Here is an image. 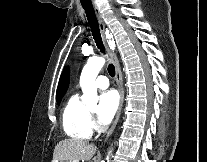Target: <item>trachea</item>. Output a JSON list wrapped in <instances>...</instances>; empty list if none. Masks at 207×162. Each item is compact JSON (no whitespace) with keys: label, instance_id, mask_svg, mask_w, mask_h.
I'll list each match as a JSON object with an SVG mask.
<instances>
[{"label":"trachea","instance_id":"1","mask_svg":"<svg viewBox=\"0 0 207 162\" xmlns=\"http://www.w3.org/2000/svg\"><path fill=\"white\" fill-rule=\"evenodd\" d=\"M80 2L82 4L83 9L85 10V13H86V16H87V19H88V23L90 25L92 35H93V38L96 42V45L100 49V51L105 54V47H104L103 42H102L100 29H99V26H98V21L96 19L95 13H94V9L92 7L91 0H80ZM108 72H109L111 77L115 76V67H114V65H112V64L108 65Z\"/></svg>","mask_w":207,"mask_h":162}]
</instances>
